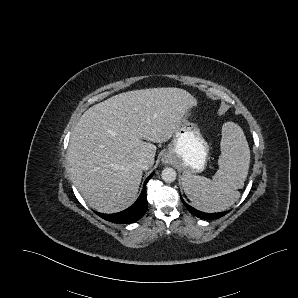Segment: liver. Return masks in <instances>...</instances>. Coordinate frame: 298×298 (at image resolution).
Masks as SVG:
<instances>
[{"instance_id":"liver-1","label":"liver","mask_w":298,"mask_h":298,"mask_svg":"<svg viewBox=\"0 0 298 298\" xmlns=\"http://www.w3.org/2000/svg\"><path fill=\"white\" fill-rule=\"evenodd\" d=\"M195 106L187 90L157 87L120 93L86 110L71 134L67 159L89 206L102 213L129 207L143 175L138 160L153 166V143L170 140L182 113Z\"/></svg>"}]
</instances>
